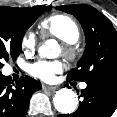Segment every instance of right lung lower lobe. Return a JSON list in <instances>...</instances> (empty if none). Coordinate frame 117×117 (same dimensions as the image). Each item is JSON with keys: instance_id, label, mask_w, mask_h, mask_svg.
<instances>
[{"instance_id": "right-lung-lower-lobe-1", "label": "right lung lower lobe", "mask_w": 117, "mask_h": 117, "mask_svg": "<svg viewBox=\"0 0 117 117\" xmlns=\"http://www.w3.org/2000/svg\"><path fill=\"white\" fill-rule=\"evenodd\" d=\"M41 84L31 77H21L14 83L0 72V117H25L31 95Z\"/></svg>"}]
</instances>
